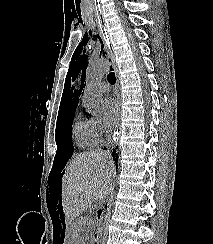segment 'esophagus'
Returning a JSON list of instances; mask_svg holds the SVG:
<instances>
[{
  "label": "esophagus",
  "instance_id": "esophagus-1",
  "mask_svg": "<svg viewBox=\"0 0 213 244\" xmlns=\"http://www.w3.org/2000/svg\"><path fill=\"white\" fill-rule=\"evenodd\" d=\"M105 53H106V57H107V63L109 65V69L113 70L116 76V85H115V93L119 102V114H118V119H117V123L115 125V132L118 131V127H119V122H120V113H121V109H120V105H121V98H120V92H119V74H118V69L114 60V55L112 53L111 50H109V48L106 46L104 47Z\"/></svg>",
  "mask_w": 213,
  "mask_h": 244
}]
</instances>
